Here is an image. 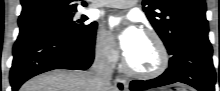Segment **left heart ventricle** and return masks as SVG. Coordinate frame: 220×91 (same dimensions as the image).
<instances>
[{
	"label": "left heart ventricle",
	"mask_w": 220,
	"mask_h": 91,
	"mask_svg": "<svg viewBox=\"0 0 220 91\" xmlns=\"http://www.w3.org/2000/svg\"><path fill=\"white\" fill-rule=\"evenodd\" d=\"M131 68L138 71H150L159 61L153 40L142 34L135 47L125 56Z\"/></svg>",
	"instance_id": "b2bd125f"
}]
</instances>
